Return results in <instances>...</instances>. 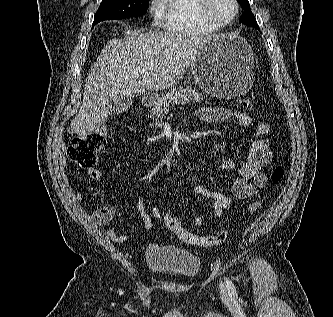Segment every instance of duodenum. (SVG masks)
Returning a JSON list of instances; mask_svg holds the SVG:
<instances>
[{"instance_id": "410a0bca", "label": "duodenum", "mask_w": 333, "mask_h": 317, "mask_svg": "<svg viewBox=\"0 0 333 317\" xmlns=\"http://www.w3.org/2000/svg\"><path fill=\"white\" fill-rule=\"evenodd\" d=\"M155 103V97L154 96H146L144 98V105L146 107H150Z\"/></svg>"}]
</instances>
